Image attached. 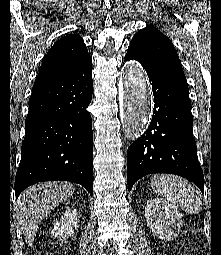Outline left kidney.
Segmentation results:
<instances>
[{"label":"left kidney","mask_w":221,"mask_h":255,"mask_svg":"<svg viewBox=\"0 0 221 255\" xmlns=\"http://www.w3.org/2000/svg\"><path fill=\"white\" fill-rule=\"evenodd\" d=\"M147 224L160 239L172 240L180 232L182 214L178 208L162 199H151L145 206Z\"/></svg>","instance_id":"obj_1"}]
</instances>
